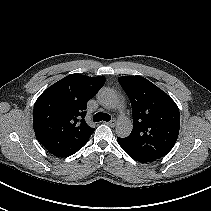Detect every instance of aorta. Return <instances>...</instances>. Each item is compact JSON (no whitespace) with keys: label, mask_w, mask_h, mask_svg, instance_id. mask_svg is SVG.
I'll return each mask as SVG.
<instances>
[{"label":"aorta","mask_w":211,"mask_h":211,"mask_svg":"<svg viewBox=\"0 0 211 211\" xmlns=\"http://www.w3.org/2000/svg\"><path fill=\"white\" fill-rule=\"evenodd\" d=\"M99 103L108 109H114L118 105V98L115 92L109 88H103L99 91L97 95ZM116 134L119 137H127L132 131V123L128 118L120 117L117 120Z\"/></svg>","instance_id":"aorta-1"}]
</instances>
